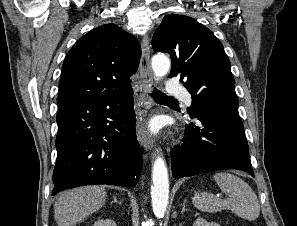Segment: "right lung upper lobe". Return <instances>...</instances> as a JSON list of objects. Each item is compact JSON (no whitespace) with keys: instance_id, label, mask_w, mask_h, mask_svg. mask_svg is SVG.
<instances>
[{"instance_id":"right-lung-upper-lobe-1","label":"right lung upper lobe","mask_w":297,"mask_h":226,"mask_svg":"<svg viewBox=\"0 0 297 226\" xmlns=\"http://www.w3.org/2000/svg\"><path fill=\"white\" fill-rule=\"evenodd\" d=\"M140 56L137 39L117 25L94 28L80 38L65 57L58 105L132 91L130 76L137 71Z\"/></svg>"}]
</instances>
